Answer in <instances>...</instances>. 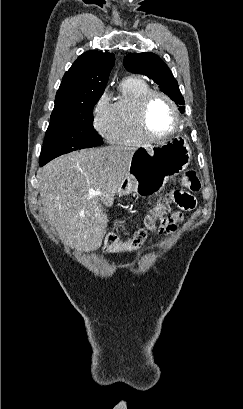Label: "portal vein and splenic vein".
Here are the masks:
<instances>
[{
  "label": "portal vein and splenic vein",
  "mask_w": 243,
  "mask_h": 409,
  "mask_svg": "<svg viewBox=\"0 0 243 409\" xmlns=\"http://www.w3.org/2000/svg\"><path fill=\"white\" fill-rule=\"evenodd\" d=\"M99 193H100L99 191H95L94 189L89 190L90 196H95V195H98Z\"/></svg>",
  "instance_id": "obj_1"
}]
</instances>
